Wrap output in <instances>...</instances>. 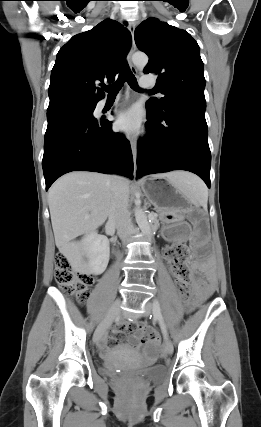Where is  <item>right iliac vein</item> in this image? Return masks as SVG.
Masks as SVG:
<instances>
[{
  "mask_svg": "<svg viewBox=\"0 0 261 427\" xmlns=\"http://www.w3.org/2000/svg\"><path fill=\"white\" fill-rule=\"evenodd\" d=\"M120 307H121V300L117 299L113 303V305L111 306V308H110L109 312L107 313L106 317L104 318V320L97 327V329L94 333V336H93V341L95 343H98V341L102 338V336L104 335L106 330L112 324L113 320L117 317V315L120 312Z\"/></svg>",
  "mask_w": 261,
  "mask_h": 427,
  "instance_id": "63e3f726",
  "label": "right iliac vein"
}]
</instances>
